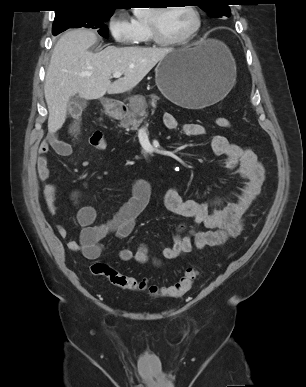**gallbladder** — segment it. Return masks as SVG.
<instances>
[{
	"mask_svg": "<svg viewBox=\"0 0 306 387\" xmlns=\"http://www.w3.org/2000/svg\"><path fill=\"white\" fill-rule=\"evenodd\" d=\"M86 101L81 99L78 96L71 97L68 102V109L73 110L74 108L78 107L79 105H85Z\"/></svg>",
	"mask_w": 306,
	"mask_h": 387,
	"instance_id": "gallbladder-1",
	"label": "gallbladder"
}]
</instances>
